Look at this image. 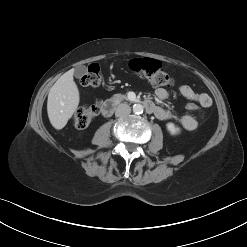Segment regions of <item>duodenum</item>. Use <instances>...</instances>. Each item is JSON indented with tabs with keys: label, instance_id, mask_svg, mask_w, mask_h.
Returning <instances> with one entry per match:
<instances>
[{
	"label": "duodenum",
	"instance_id": "duodenum-1",
	"mask_svg": "<svg viewBox=\"0 0 247 247\" xmlns=\"http://www.w3.org/2000/svg\"><path fill=\"white\" fill-rule=\"evenodd\" d=\"M144 107L146 108L147 111L149 112H154L156 109V105L147 100L143 102ZM118 106V102L112 99L106 100L101 107V111L104 117H109L113 114L115 111L116 107Z\"/></svg>",
	"mask_w": 247,
	"mask_h": 247
}]
</instances>
